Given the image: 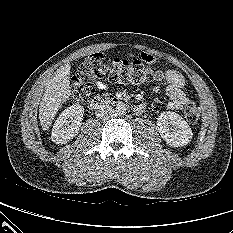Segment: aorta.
<instances>
[{"label":"aorta","instance_id":"aorta-1","mask_svg":"<svg viewBox=\"0 0 233 233\" xmlns=\"http://www.w3.org/2000/svg\"><path fill=\"white\" fill-rule=\"evenodd\" d=\"M127 112L126 105L124 103H118L115 107V113L118 116H123Z\"/></svg>","mask_w":233,"mask_h":233}]
</instances>
